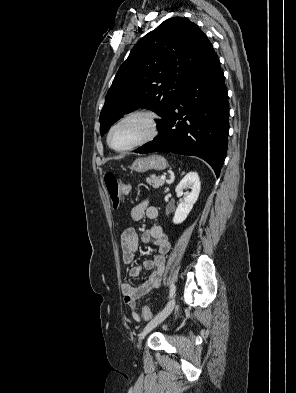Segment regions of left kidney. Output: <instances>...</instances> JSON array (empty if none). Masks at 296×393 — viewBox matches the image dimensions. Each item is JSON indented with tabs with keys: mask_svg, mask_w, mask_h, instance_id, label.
I'll return each mask as SVG.
<instances>
[{
	"mask_svg": "<svg viewBox=\"0 0 296 393\" xmlns=\"http://www.w3.org/2000/svg\"><path fill=\"white\" fill-rule=\"evenodd\" d=\"M201 183L197 172L191 171L177 185L175 191L177 197L180 198V203L175 211L173 222L175 224L182 223L190 213L193 205L196 203L200 193ZM186 189H191L190 192H184Z\"/></svg>",
	"mask_w": 296,
	"mask_h": 393,
	"instance_id": "obj_1",
	"label": "left kidney"
}]
</instances>
